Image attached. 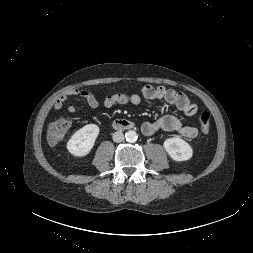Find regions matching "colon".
I'll list each match as a JSON object with an SVG mask.
<instances>
[{
    "instance_id": "1",
    "label": "colon",
    "mask_w": 253,
    "mask_h": 253,
    "mask_svg": "<svg viewBox=\"0 0 253 253\" xmlns=\"http://www.w3.org/2000/svg\"><path fill=\"white\" fill-rule=\"evenodd\" d=\"M201 130L204 134H208L210 129V114L203 111L199 115ZM70 127L69 120L65 118L58 119L52 122L48 128V140L51 144H57L66 134Z\"/></svg>"
}]
</instances>
